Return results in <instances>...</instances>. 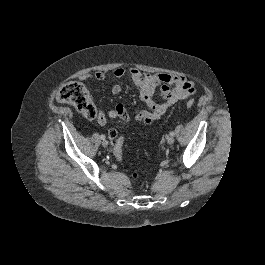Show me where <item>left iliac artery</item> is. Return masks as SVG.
Masks as SVG:
<instances>
[{
	"label": "left iliac artery",
	"instance_id": "1",
	"mask_svg": "<svg viewBox=\"0 0 265 265\" xmlns=\"http://www.w3.org/2000/svg\"><path fill=\"white\" fill-rule=\"evenodd\" d=\"M175 135V133L172 131V132H170V136H174Z\"/></svg>",
	"mask_w": 265,
	"mask_h": 265
}]
</instances>
